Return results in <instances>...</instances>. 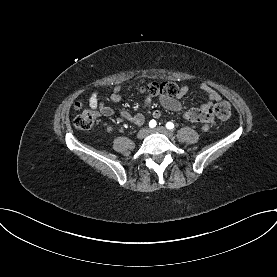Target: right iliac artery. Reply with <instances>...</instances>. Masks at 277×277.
<instances>
[{"label":"right iliac artery","mask_w":277,"mask_h":277,"mask_svg":"<svg viewBox=\"0 0 277 277\" xmlns=\"http://www.w3.org/2000/svg\"><path fill=\"white\" fill-rule=\"evenodd\" d=\"M156 126V121L155 120H151L150 122H149V127L150 128H153V127H155Z\"/></svg>","instance_id":"obj_1"}]
</instances>
